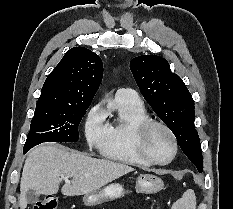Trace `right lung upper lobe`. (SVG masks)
<instances>
[{
	"label": "right lung upper lobe",
	"mask_w": 233,
	"mask_h": 209,
	"mask_svg": "<svg viewBox=\"0 0 233 209\" xmlns=\"http://www.w3.org/2000/svg\"><path fill=\"white\" fill-rule=\"evenodd\" d=\"M102 77L101 58L87 48L74 47L48 75L35 110L58 112L91 104Z\"/></svg>",
	"instance_id": "1"
}]
</instances>
